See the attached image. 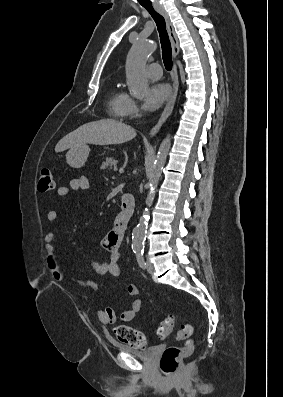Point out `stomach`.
<instances>
[{
	"label": "stomach",
	"instance_id": "1",
	"mask_svg": "<svg viewBox=\"0 0 283 397\" xmlns=\"http://www.w3.org/2000/svg\"><path fill=\"white\" fill-rule=\"evenodd\" d=\"M89 152L90 148L86 144L70 148L66 154L67 163L73 168H80L85 164Z\"/></svg>",
	"mask_w": 283,
	"mask_h": 397
}]
</instances>
